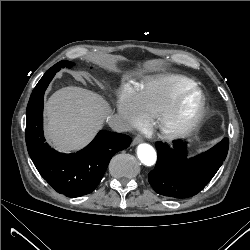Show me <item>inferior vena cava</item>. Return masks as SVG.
<instances>
[{
	"mask_svg": "<svg viewBox=\"0 0 250 250\" xmlns=\"http://www.w3.org/2000/svg\"><path fill=\"white\" fill-rule=\"evenodd\" d=\"M107 122L108 125L116 132H127L131 129L129 122L120 115H113Z\"/></svg>",
	"mask_w": 250,
	"mask_h": 250,
	"instance_id": "inferior-vena-cava-1",
	"label": "inferior vena cava"
}]
</instances>
